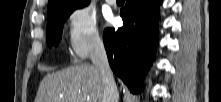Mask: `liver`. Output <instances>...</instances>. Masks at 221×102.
<instances>
[{"instance_id":"obj_1","label":"liver","mask_w":221,"mask_h":102,"mask_svg":"<svg viewBox=\"0 0 221 102\" xmlns=\"http://www.w3.org/2000/svg\"><path fill=\"white\" fill-rule=\"evenodd\" d=\"M104 84L95 65L82 64L48 74L35 102H103Z\"/></svg>"}]
</instances>
